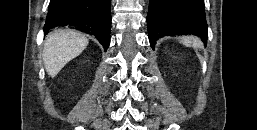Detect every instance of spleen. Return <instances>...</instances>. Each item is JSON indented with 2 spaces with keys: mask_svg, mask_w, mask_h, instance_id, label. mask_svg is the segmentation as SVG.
I'll return each mask as SVG.
<instances>
[{
  "mask_svg": "<svg viewBox=\"0 0 257 130\" xmlns=\"http://www.w3.org/2000/svg\"><path fill=\"white\" fill-rule=\"evenodd\" d=\"M181 42L188 47L200 48L202 46L201 41L197 37H184Z\"/></svg>",
  "mask_w": 257,
  "mask_h": 130,
  "instance_id": "spleen-1",
  "label": "spleen"
}]
</instances>
